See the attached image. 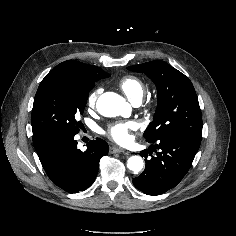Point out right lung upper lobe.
I'll return each mask as SVG.
<instances>
[{
  "instance_id": "cb5924a9",
  "label": "right lung upper lobe",
  "mask_w": 236,
  "mask_h": 236,
  "mask_svg": "<svg viewBox=\"0 0 236 236\" xmlns=\"http://www.w3.org/2000/svg\"><path fill=\"white\" fill-rule=\"evenodd\" d=\"M52 71L67 73L85 84H95L96 81L110 76L97 66L87 65L75 60L62 62Z\"/></svg>"
}]
</instances>
